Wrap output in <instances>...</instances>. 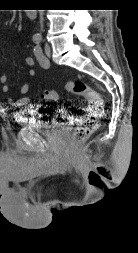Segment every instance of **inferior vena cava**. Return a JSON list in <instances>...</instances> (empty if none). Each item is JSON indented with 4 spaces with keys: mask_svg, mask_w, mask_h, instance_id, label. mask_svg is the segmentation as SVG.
<instances>
[{
    "mask_svg": "<svg viewBox=\"0 0 138 253\" xmlns=\"http://www.w3.org/2000/svg\"><path fill=\"white\" fill-rule=\"evenodd\" d=\"M40 24H41V28H43V10H41V13H40Z\"/></svg>",
    "mask_w": 138,
    "mask_h": 253,
    "instance_id": "obj_1",
    "label": "inferior vena cava"
}]
</instances>
